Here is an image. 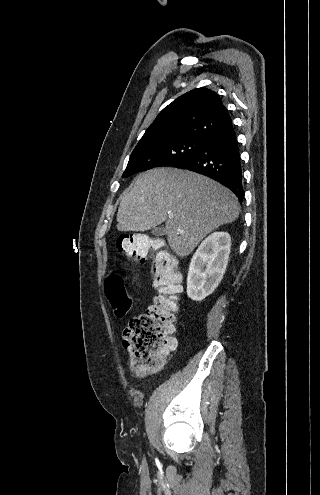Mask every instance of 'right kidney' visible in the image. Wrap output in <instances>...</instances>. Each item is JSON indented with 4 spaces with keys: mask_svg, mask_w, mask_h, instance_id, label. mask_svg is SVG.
Here are the masks:
<instances>
[{
    "mask_svg": "<svg viewBox=\"0 0 320 495\" xmlns=\"http://www.w3.org/2000/svg\"><path fill=\"white\" fill-rule=\"evenodd\" d=\"M231 238L227 232L209 235L194 253L187 277V295L194 301H201L212 294L225 273Z\"/></svg>",
    "mask_w": 320,
    "mask_h": 495,
    "instance_id": "right-kidney-1",
    "label": "right kidney"
}]
</instances>
